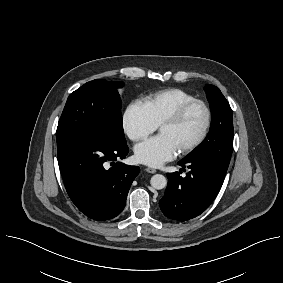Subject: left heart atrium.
Returning <instances> with one entry per match:
<instances>
[{
    "label": "left heart atrium",
    "instance_id": "obj_1",
    "mask_svg": "<svg viewBox=\"0 0 283 283\" xmlns=\"http://www.w3.org/2000/svg\"><path fill=\"white\" fill-rule=\"evenodd\" d=\"M134 152L140 163L150 167H159L175 158L178 150L170 139L157 135L136 145Z\"/></svg>",
    "mask_w": 283,
    "mask_h": 283
}]
</instances>
